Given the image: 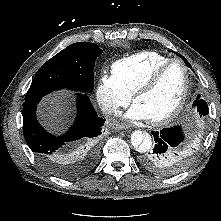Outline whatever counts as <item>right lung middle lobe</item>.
<instances>
[{"label": "right lung middle lobe", "mask_w": 221, "mask_h": 221, "mask_svg": "<svg viewBox=\"0 0 221 221\" xmlns=\"http://www.w3.org/2000/svg\"><path fill=\"white\" fill-rule=\"evenodd\" d=\"M102 54L98 45L78 42L48 60L35 75L25 100L40 99L58 89L81 92L94 89L95 60Z\"/></svg>", "instance_id": "obj_1"}]
</instances>
